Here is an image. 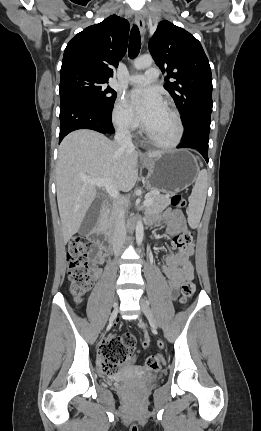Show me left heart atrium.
Here are the masks:
<instances>
[{"label": "left heart atrium", "mask_w": 261, "mask_h": 431, "mask_svg": "<svg viewBox=\"0 0 261 431\" xmlns=\"http://www.w3.org/2000/svg\"><path fill=\"white\" fill-rule=\"evenodd\" d=\"M128 103L140 122L147 126L154 115L164 106L160 94L152 88H136L127 95Z\"/></svg>", "instance_id": "left-heart-atrium-1"}]
</instances>
